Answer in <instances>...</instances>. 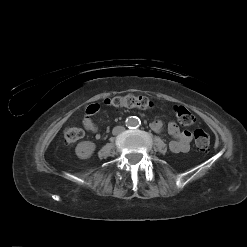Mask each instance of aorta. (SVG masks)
<instances>
[{"label":"aorta","mask_w":247,"mask_h":247,"mask_svg":"<svg viewBox=\"0 0 247 247\" xmlns=\"http://www.w3.org/2000/svg\"><path fill=\"white\" fill-rule=\"evenodd\" d=\"M140 124V120L136 116H131L126 119V126L137 127Z\"/></svg>","instance_id":"obj_1"}]
</instances>
